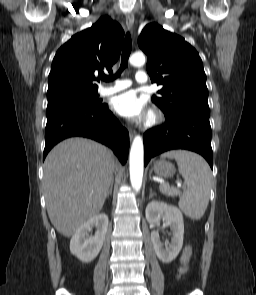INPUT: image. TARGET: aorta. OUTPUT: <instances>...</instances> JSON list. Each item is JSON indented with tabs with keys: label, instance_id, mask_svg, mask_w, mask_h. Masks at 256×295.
<instances>
[{
	"label": "aorta",
	"instance_id": "1",
	"mask_svg": "<svg viewBox=\"0 0 256 295\" xmlns=\"http://www.w3.org/2000/svg\"><path fill=\"white\" fill-rule=\"evenodd\" d=\"M129 61L132 65L140 67L145 64V56L143 53H134ZM130 181L132 188L139 192L142 186L143 168H144V147L143 140L140 136H136L132 142L130 156Z\"/></svg>",
	"mask_w": 256,
	"mask_h": 295
}]
</instances>
